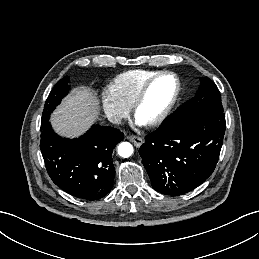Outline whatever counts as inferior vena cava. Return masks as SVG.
I'll list each match as a JSON object with an SVG mask.
<instances>
[{"mask_svg": "<svg viewBox=\"0 0 259 259\" xmlns=\"http://www.w3.org/2000/svg\"><path fill=\"white\" fill-rule=\"evenodd\" d=\"M109 121L112 123V124H121V117L118 116V115H113V116H110L109 118Z\"/></svg>", "mask_w": 259, "mask_h": 259, "instance_id": "602c4592", "label": "inferior vena cava"}]
</instances>
